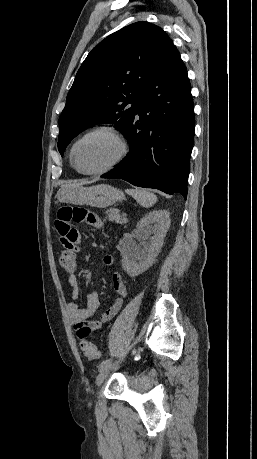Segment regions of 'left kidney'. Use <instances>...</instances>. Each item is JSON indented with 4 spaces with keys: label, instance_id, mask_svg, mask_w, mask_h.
<instances>
[{
    "label": "left kidney",
    "instance_id": "obj_1",
    "mask_svg": "<svg viewBox=\"0 0 257 459\" xmlns=\"http://www.w3.org/2000/svg\"><path fill=\"white\" fill-rule=\"evenodd\" d=\"M170 223L167 210H154L138 221L132 234L138 240H149V243L142 248L135 241H130L123 247L122 267L129 276L135 277L152 266L163 246Z\"/></svg>",
    "mask_w": 257,
    "mask_h": 459
}]
</instances>
